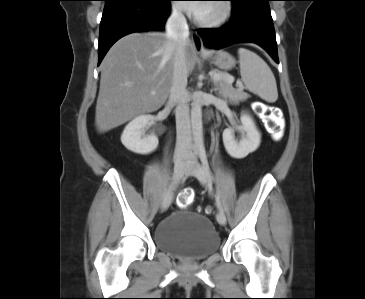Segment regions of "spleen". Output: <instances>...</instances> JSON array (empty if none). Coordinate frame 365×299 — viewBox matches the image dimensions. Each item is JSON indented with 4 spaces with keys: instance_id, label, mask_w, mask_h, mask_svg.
<instances>
[{
    "instance_id": "1",
    "label": "spleen",
    "mask_w": 365,
    "mask_h": 299,
    "mask_svg": "<svg viewBox=\"0 0 365 299\" xmlns=\"http://www.w3.org/2000/svg\"><path fill=\"white\" fill-rule=\"evenodd\" d=\"M241 79L246 89L267 102L278 99L275 77L267 63L246 48L238 49Z\"/></svg>"
}]
</instances>
